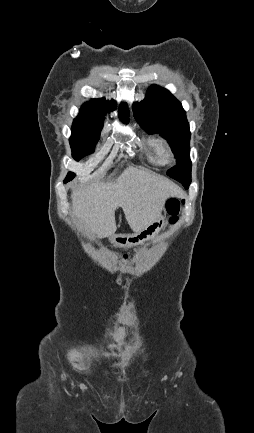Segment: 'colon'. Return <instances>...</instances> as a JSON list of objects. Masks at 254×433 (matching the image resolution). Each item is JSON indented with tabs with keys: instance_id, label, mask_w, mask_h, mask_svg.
I'll use <instances>...</instances> for the list:
<instances>
[{
	"instance_id": "1",
	"label": "colon",
	"mask_w": 254,
	"mask_h": 433,
	"mask_svg": "<svg viewBox=\"0 0 254 433\" xmlns=\"http://www.w3.org/2000/svg\"><path fill=\"white\" fill-rule=\"evenodd\" d=\"M183 204V200H180L178 198H170L167 201V211L169 213V221L171 224L176 223V221L178 220V215L181 209V206ZM124 258H128L127 255H124Z\"/></svg>"
}]
</instances>
